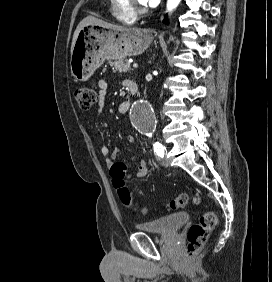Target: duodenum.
<instances>
[{
	"instance_id": "obj_1",
	"label": "duodenum",
	"mask_w": 272,
	"mask_h": 282,
	"mask_svg": "<svg viewBox=\"0 0 272 282\" xmlns=\"http://www.w3.org/2000/svg\"><path fill=\"white\" fill-rule=\"evenodd\" d=\"M126 85H127V88H128L130 95L136 96L138 91H139L138 84L136 83V81L127 80ZM130 106H131V100H127L125 102H122L121 105H120L121 109H128Z\"/></svg>"
}]
</instances>
